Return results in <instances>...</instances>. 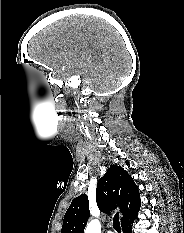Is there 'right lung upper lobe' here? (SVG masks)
<instances>
[{
    "mask_svg": "<svg viewBox=\"0 0 184 233\" xmlns=\"http://www.w3.org/2000/svg\"><path fill=\"white\" fill-rule=\"evenodd\" d=\"M96 202L99 209L105 213L118 207L123 214L122 224L137 214L140 208V194L126 170L117 165H110L98 181ZM89 216L88 197L81 194L73 199L67 209L61 233H84Z\"/></svg>",
    "mask_w": 184,
    "mask_h": 233,
    "instance_id": "1",
    "label": "right lung upper lobe"
}]
</instances>
